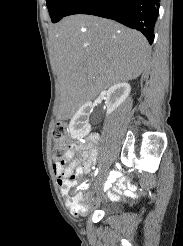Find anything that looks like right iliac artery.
<instances>
[{
	"instance_id": "right-iliac-artery-1",
	"label": "right iliac artery",
	"mask_w": 183,
	"mask_h": 246,
	"mask_svg": "<svg viewBox=\"0 0 183 246\" xmlns=\"http://www.w3.org/2000/svg\"><path fill=\"white\" fill-rule=\"evenodd\" d=\"M97 173H98V169L95 171V176L97 175ZM117 177H118V173L117 172H115V171L111 172V177L110 178L114 179V178H117Z\"/></svg>"
}]
</instances>
